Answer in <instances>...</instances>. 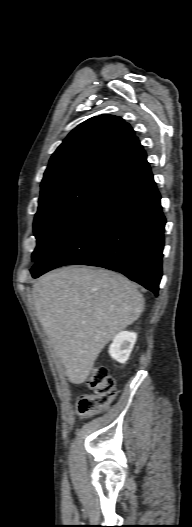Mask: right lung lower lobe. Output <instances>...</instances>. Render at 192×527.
<instances>
[{
	"label": "right lung lower lobe",
	"instance_id": "98d812e1",
	"mask_svg": "<svg viewBox=\"0 0 192 527\" xmlns=\"http://www.w3.org/2000/svg\"><path fill=\"white\" fill-rule=\"evenodd\" d=\"M165 223L143 152L107 181L30 272L37 278L64 265L98 266L120 272L158 295Z\"/></svg>",
	"mask_w": 192,
	"mask_h": 527
}]
</instances>
